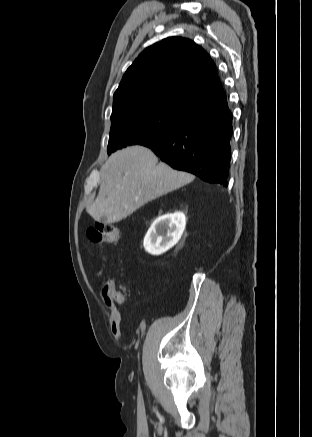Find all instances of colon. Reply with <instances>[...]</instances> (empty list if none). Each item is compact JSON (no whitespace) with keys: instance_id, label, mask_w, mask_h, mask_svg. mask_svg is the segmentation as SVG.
Returning <instances> with one entry per match:
<instances>
[{"instance_id":"colon-1","label":"colon","mask_w":312,"mask_h":437,"mask_svg":"<svg viewBox=\"0 0 312 437\" xmlns=\"http://www.w3.org/2000/svg\"><path fill=\"white\" fill-rule=\"evenodd\" d=\"M88 238L97 243L117 244L120 239L118 228L110 223H97L93 228L87 231ZM106 287L111 296L119 303L126 301L125 295L118 291L113 282H106Z\"/></svg>"}]
</instances>
